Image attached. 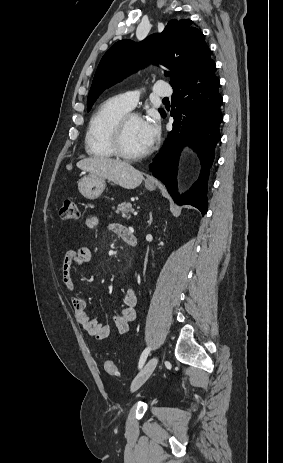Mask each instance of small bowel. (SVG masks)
Returning a JSON list of instances; mask_svg holds the SVG:
<instances>
[{
  "instance_id": "c3829d8e",
  "label": "small bowel",
  "mask_w": 283,
  "mask_h": 463,
  "mask_svg": "<svg viewBox=\"0 0 283 463\" xmlns=\"http://www.w3.org/2000/svg\"><path fill=\"white\" fill-rule=\"evenodd\" d=\"M86 226L89 229H96L99 226V218L96 215H90L86 218ZM110 229L124 240V236L129 230L122 224L113 223ZM91 259V249L88 246H80L77 249H70L66 252L62 265V280L66 291L71 296L74 316L83 329L97 340L107 339L112 327L107 323H100L92 318L86 308V302L82 298L75 295V282L73 270L75 267ZM137 296L133 288L127 287L123 292L124 307L119 309L114 319V325L120 335L129 332L132 323L136 319L134 306Z\"/></svg>"
}]
</instances>
